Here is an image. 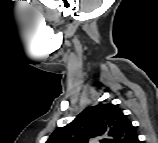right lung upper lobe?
<instances>
[{
    "label": "right lung upper lobe",
    "instance_id": "right-lung-upper-lobe-1",
    "mask_svg": "<svg viewBox=\"0 0 158 143\" xmlns=\"http://www.w3.org/2000/svg\"><path fill=\"white\" fill-rule=\"evenodd\" d=\"M136 143L135 127L117 105L98 104L86 108L71 123L57 128L46 143Z\"/></svg>",
    "mask_w": 158,
    "mask_h": 143
}]
</instances>
